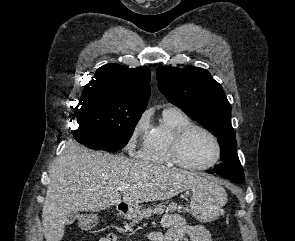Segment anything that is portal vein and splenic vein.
<instances>
[{
    "mask_svg": "<svg viewBox=\"0 0 295 241\" xmlns=\"http://www.w3.org/2000/svg\"><path fill=\"white\" fill-rule=\"evenodd\" d=\"M129 185L128 184H122L121 186H119V190L120 191H126L128 189Z\"/></svg>",
    "mask_w": 295,
    "mask_h": 241,
    "instance_id": "obj_1",
    "label": "portal vein and splenic vein"
}]
</instances>
